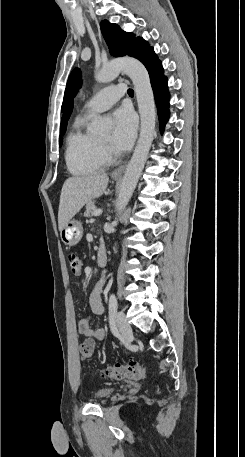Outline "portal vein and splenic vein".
Segmentation results:
<instances>
[{"label": "portal vein and splenic vein", "instance_id": "obj_1", "mask_svg": "<svg viewBox=\"0 0 245 457\" xmlns=\"http://www.w3.org/2000/svg\"><path fill=\"white\" fill-rule=\"evenodd\" d=\"M102 212V208H97V210H94L93 214L94 216H99V214H101Z\"/></svg>", "mask_w": 245, "mask_h": 457}]
</instances>
